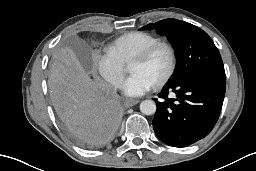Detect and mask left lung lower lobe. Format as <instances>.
Listing matches in <instances>:
<instances>
[{"label": "left lung lower lobe", "mask_w": 256, "mask_h": 171, "mask_svg": "<svg viewBox=\"0 0 256 171\" xmlns=\"http://www.w3.org/2000/svg\"><path fill=\"white\" fill-rule=\"evenodd\" d=\"M226 87L224 71H202L167 83L157 101L153 128L160 140L186 147L208 135L215 126ZM174 93L176 98H168Z\"/></svg>", "instance_id": "1"}]
</instances>
